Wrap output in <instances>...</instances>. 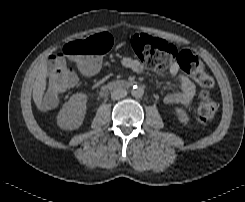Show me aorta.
I'll use <instances>...</instances> for the list:
<instances>
[{"instance_id": "762f6f07", "label": "aorta", "mask_w": 245, "mask_h": 202, "mask_svg": "<svg viewBox=\"0 0 245 202\" xmlns=\"http://www.w3.org/2000/svg\"><path fill=\"white\" fill-rule=\"evenodd\" d=\"M131 94L135 98H140L144 94V89L140 86H134L131 90Z\"/></svg>"}]
</instances>
